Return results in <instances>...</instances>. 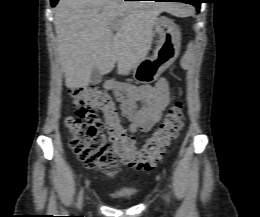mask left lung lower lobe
Instances as JSON below:
<instances>
[{"mask_svg": "<svg viewBox=\"0 0 260 217\" xmlns=\"http://www.w3.org/2000/svg\"><path fill=\"white\" fill-rule=\"evenodd\" d=\"M155 1H170V2H184L191 5H194L197 8V11L200 10L201 0H155Z\"/></svg>", "mask_w": 260, "mask_h": 217, "instance_id": "1", "label": "left lung lower lobe"}]
</instances>
